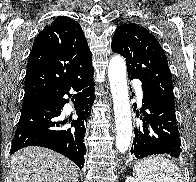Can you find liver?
<instances>
[{
	"instance_id": "1",
	"label": "liver",
	"mask_w": 196,
	"mask_h": 182,
	"mask_svg": "<svg viewBox=\"0 0 196 182\" xmlns=\"http://www.w3.org/2000/svg\"><path fill=\"white\" fill-rule=\"evenodd\" d=\"M10 182H78L77 166L64 156L30 146L14 153L9 161Z\"/></svg>"
}]
</instances>
